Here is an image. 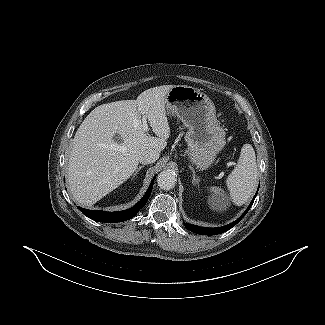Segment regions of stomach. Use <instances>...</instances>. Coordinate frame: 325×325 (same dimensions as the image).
Listing matches in <instances>:
<instances>
[{
  "instance_id": "stomach-1",
  "label": "stomach",
  "mask_w": 325,
  "mask_h": 325,
  "mask_svg": "<svg viewBox=\"0 0 325 325\" xmlns=\"http://www.w3.org/2000/svg\"><path fill=\"white\" fill-rule=\"evenodd\" d=\"M168 114L177 116L187 127L186 155L200 169L211 166L226 144L212 100L199 89L175 85L166 96Z\"/></svg>"
}]
</instances>
